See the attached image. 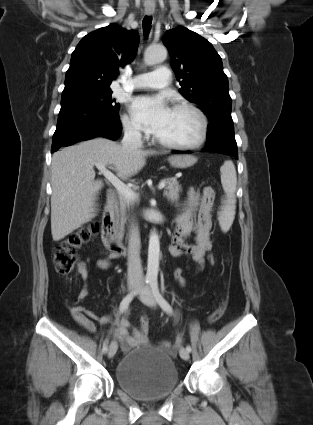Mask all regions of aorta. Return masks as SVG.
<instances>
[{"label": "aorta", "mask_w": 313, "mask_h": 425, "mask_svg": "<svg viewBox=\"0 0 313 425\" xmlns=\"http://www.w3.org/2000/svg\"><path fill=\"white\" fill-rule=\"evenodd\" d=\"M167 57V50L164 46H155L147 49L144 55V62L153 65L163 62ZM160 241L158 235L153 231L150 235L148 246V261L146 277L156 280L159 270Z\"/></svg>", "instance_id": "obj_1"}]
</instances>
